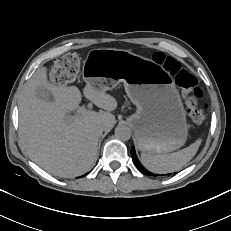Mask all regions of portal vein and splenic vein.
<instances>
[{"label": "portal vein and splenic vein", "instance_id": "18ae733b", "mask_svg": "<svg viewBox=\"0 0 231 231\" xmlns=\"http://www.w3.org/2000/svg\"><path fill=\"white\" fill-rule=\"evenodd\" d=\"M88 107L91 108L92 107L91 104H88Z\"/></svg>", "mask_w": 231, "mask_h": 231}]
</instances>
